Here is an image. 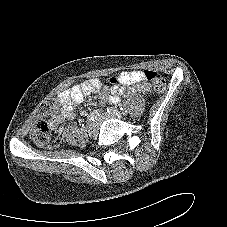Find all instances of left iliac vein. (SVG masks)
Returning a JSON list of instances; mask_svg holds the SVG:
<instances>
[{
    "instance_id": "left-iliac-vein-1",
    "label": "left iliac vein",
    "mask_w": 227,
    "mask_h": 227,
    "mask_svg": "<svg viewBox=\"0 0 227 227\" xmlns=\"http://www.w3.org/2000/svg\"><path fill=\"white\" fill-rule=\"evenodd\" d=\"M120 116H121V114L120 115H115V114H107V113H105V114L101 115L98 118L97 121H98V123H101L105 119H110V118H115V117H120Z\"/></svg>"
}]
</instances>
